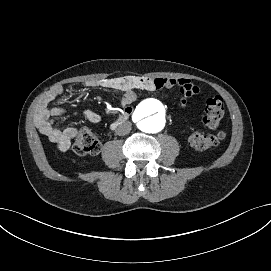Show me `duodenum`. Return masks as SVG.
<instances>
[{
  "instance_id": "obj_1",
  "label": "duodenum",
  "mask_w": 271,
  "mask_h": 271,
  "mask_svg": "<svg viewBox=\"0 0 271 271\" xmlns=\"http://www.w3.org/2000/svg\"><path fill=\"white\" fill-rule=\"evenodd\" d=\"M129 117V113H124L122 114L113 124H112V128L115 129L117 128L119 125H121L122 123H124Z\"/></svg>"
}]
</instances>
